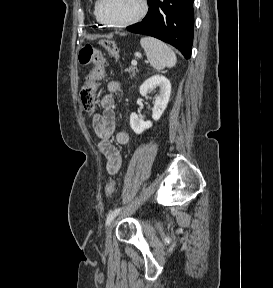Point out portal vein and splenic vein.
<instances>
[{"mask_svg": "<svg viewBox=\"0 0 273 288\" xmlns=\"http://www.w3.org/2000/svg\"><path fill=\"white\" fill-rule=\"evenodd\" d=\"M131 64L136 66L137 65V61H132Z\"/></svg>", "mask_w": 273, "mask_h": 288, "instance_id": "portal-vein-and-splenic-vein-1", "label": "portal vein and splenic vein"}]
</instances>
